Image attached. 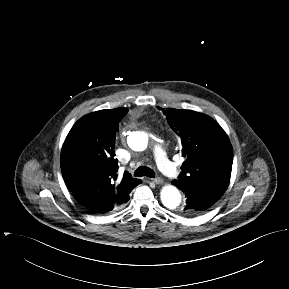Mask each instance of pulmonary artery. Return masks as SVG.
I'll use <instances>...</instances> for the list:
<instances>
[{"label":"pulmonary artery","mask_w":289,"mask_h":289,"mask_svg":"<svg viewBox=\"0 0 289 289\" xmlns=\"http://www.w3.org/2000/svg\"><path fill=\"white\" fill-rule=\"evenodd\" d=\"M155 159L159 169L168 177L176 178L179 175L176 167L168 160L165 151L160 145L154 149Z\"/></svg>","instance_id":"pulmonary-artery-1"}]
</instances>
